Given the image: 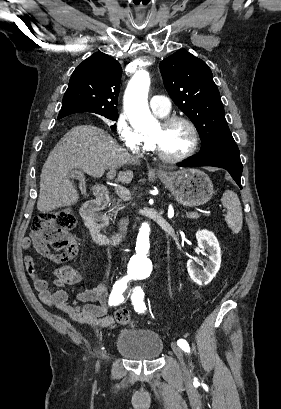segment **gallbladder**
Listing matches in <instances>:
<instances>
[{"mask_svg":"<svg viewBox=\"0 0 281 409\" xmlns=\"http://www.w3.org/2000/svg\"><path fill=\"white\" fill-rule=\"evenodd\" d=\"M72 176H74V178H75V176H79V174H78V172H72Z\"/></svg>","mask_w":281,"mask_h":409,"instance_id":"gallbladder-1","label":"gallbladder"}]
</instances>
